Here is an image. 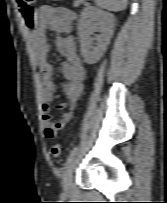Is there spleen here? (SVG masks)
<instances>
[{
  "label": "spleen",
  "mask_w": 167,
  "mask_h": 203,
  "mask_svg": "<svg viewBox=\"0 0 167 203\" xmlns=\"http://www.w3.org/2000/svg\"><path fill=\"white\" fill-rule=\"evenodd\" d=\"M96 4L103 9L109 11H122L127 6L128 0H95Z\"/></svg>",
  "instance_id": "obj_1"
}]
</instances>
